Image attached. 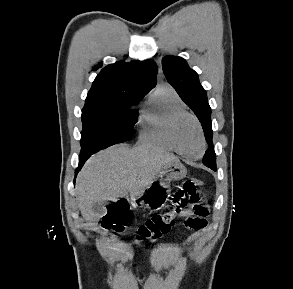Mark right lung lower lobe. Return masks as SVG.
I'll use <instances>...</instances> for the list:
<instances>
[{
  "mask_svg": "<svg viewBox=\"0 0 293 289\" xmlns=\"http://www.w3.org/2000/svg\"><path fill=\"white\" fill-rule=\"evenodd\" d=\"M90 157L89 154H81L80 158H79V167L76 170V174L78 173L79 169L82 167V165L84 164V162Z\"/></svg>",
  "mask_w": 293,
  "mask_h": 289,
  "instance_id": "98d812e1",
  "label": "right lung lower lobe"
}]
</instances>
